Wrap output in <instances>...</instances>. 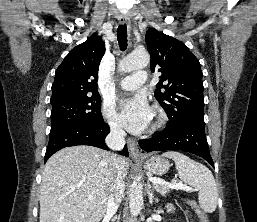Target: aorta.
<instances>
[{
  "instance_id": "obj_1",
  "label": "aorta",
  "mask_w": 257,
  "mask_h": 222,
  "mask_svg": "<svg viewBox=\"0 0 257 222\" xmlns=\"http://www.w3.org/2000/svg\"><path fill=\"white\" fill-rule=\"evenodd\" d=\"M150 62V56L146 51H134L120 61L119 70L130 72L135 69L145 68ZM129 208L132 216H137L143 208L142 184L134 179L129 193Z\"/></svg>"
}]
</instances>
